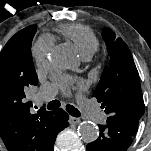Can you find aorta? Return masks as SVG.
Instances as JSON below:
<instances>
[{"label": "aorta", "mask_w": 151, "mask_h": 151, "mask_svg": "<svg viewBox=\"0 0 151 151\" xmlns=\"http://www.w3.org/2000/svg\"><path fill=\"white\" fill-rule=\"evenodd\" d=\"M74 61V52L70 46L63 44L56 47L53 54V62L56 65L69 68L74 65ZM78 134L84 142L90 143L98 138L99 130L93 122L85 121L78 126Z\"/></svg>", "instance_id": "obj_1"}]
</instances>
